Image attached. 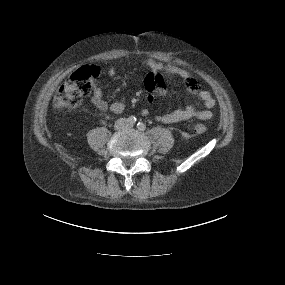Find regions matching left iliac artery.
<instances>
[{
  "mask_svg": "<svg viewBox=\"0 0 285 285\" xmlns=\"http://www.w3.org/2000/svg\"><path fill=\"white\" fill-rule=\"evenodd\" d=\"M137 128H138L140 131H144L145 128H146V125H145L144 123H142V122H139V123L137 124Z\"/></svg>",
  "mask_w": 285,
  "mask_h": 285,
  "instance_id": "44dca946",
  "label": "left iliac artery"
}]
</instances>
